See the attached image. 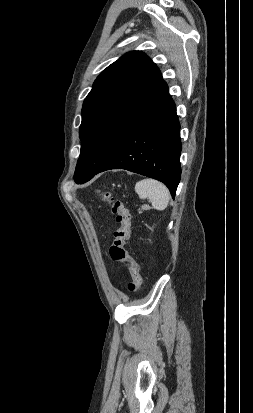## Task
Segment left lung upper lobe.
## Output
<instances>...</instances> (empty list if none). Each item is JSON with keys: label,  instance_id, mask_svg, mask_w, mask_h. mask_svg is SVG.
Segmentation results:
<instances>
[{"label": "left lung upper lobe", "instance_id": "left-lung-upper-lobe-1", "mask_svg": "<svg viewBox=\"0 0 253 413\" xmlns=\"http://www.w3.org/2000/svg\"><path fill=\"white\" fill-rule=\"evenodd\" d=\"M167 89L160 70L141 51L126 53L97 77L82 107L75 182L105 163Z\"/></svg>", "mask_w": 253, "mask_h": 413}]
</instances>
